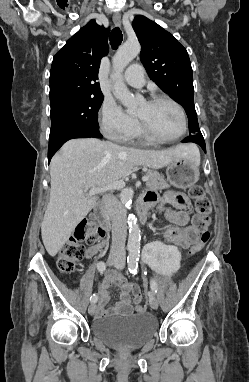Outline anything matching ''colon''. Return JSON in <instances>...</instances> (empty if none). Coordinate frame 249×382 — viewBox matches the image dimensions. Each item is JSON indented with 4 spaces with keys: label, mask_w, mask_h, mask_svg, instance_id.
I'll list each match as a JSON object with an SVG mask.
<instances>
[{
    "label": "colon",
    "mask_w": 249,
    "mask_h": 382,
    "mask_svg": "<svg viewBox=\"0 0 249 382\" xmlns=\"http://www.w3.org/2000/svg\"><path fill=\"white\" fill-rule=\"evenodd\" d=\"M188 195L194 200L195 218L194 225L200 231V238L195 241L190 250V255L199 253L210 240V225L212 205L209 198L205 195L203 188L199 185H193L188 190ZM101 228L92 219L81 220L74 234L61 247L58 258L57 267L63 274H70L75 270L76 264L85 256V247L83 242L95 243L102 236ZM136 309L143 312L146 306L141 303L140 294L134 295Z\"/></svg>",
    "instance_id": "obj_1"
}]
</instances>
